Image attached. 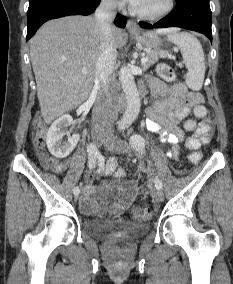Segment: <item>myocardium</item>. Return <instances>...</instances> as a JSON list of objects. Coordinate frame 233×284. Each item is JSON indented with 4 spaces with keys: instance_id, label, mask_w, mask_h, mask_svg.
<instances>
[{
    "instance_id": "obj_1",
    "label": "myocardium",
    "mask_w": 233,
    "mask_h": 284,
    "mask_svg": "<svg viewBox=\"0 0 233 284\" xmlns=\"http://www.w3.org/2000/svg\"><path fill=\"white\" fill-rule=\"evenodd\" d=\"M175 6V0H166V4L163 8L155 12H144L137 9L135 6L131 8V12L137 17L144 20H157L168 15Z\"/></svg>"
}]
</instances>
